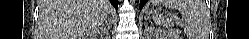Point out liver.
Returning <instances> with one entry per match:
<instances>
[{"label":"liver","instance_id":"1","mask_svg":"<svg viewBox=\"0 0 249 39\" xmlns=\"http://www.w3.org/2000/svg\"><path fill=\"white\" fill-rule=\"evenodd\" d=\"M41 39H90L111 11L108 0H40Z\"/></svg>","mask_w":249,"mask_h":39}]
</instances>
